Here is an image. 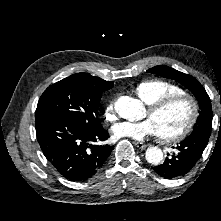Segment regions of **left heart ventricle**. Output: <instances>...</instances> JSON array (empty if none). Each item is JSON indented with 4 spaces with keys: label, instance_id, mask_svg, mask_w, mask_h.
Returning a JSON list of instances; mask_svg holds the SVG:
<instances>
[{
    "label": "left heart ventricle",
    "instance_id": "left-heart-ventricle-1",
    "mask_svg": "<svg viewBox=\"0 0 221 221\" xmlns=\"http://www.w3.org/2000/svg\"><path fill=\"white\" fill-rule=\"evenodd\" d=\"M147 116L153 121L159 134L169 136L177 133L186 124L189 108L185 102L181 101L154 115H150L147 111Z\"/></svg>",
    "mask_w": 221,
    "mask_h": 221
}]
</instances>
